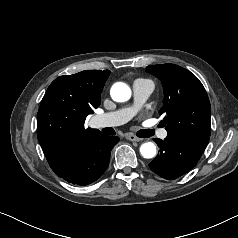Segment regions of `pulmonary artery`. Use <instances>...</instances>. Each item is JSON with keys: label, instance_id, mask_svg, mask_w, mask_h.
<instances>
[{"label": "pulmonary artery", "instance_id": "e3ab8cb5", "mask_svg": "<svg viewBox=\"0 0 238 238\" xmlns=\"http://www.w3.org/2000/svg\"><path fill=\"white\" fill-rule=\"evenodd\" d=\"M154 90V84L147 79H137L133 83L134 104L131 107L122 108L113 112L99 115L95 118V125L99 128L119 126L129 121L143 106ZM167 135L161 132L162 138Z\"/></svg>", "mask_w": 238, "mask_h": 238}]
</instances>
